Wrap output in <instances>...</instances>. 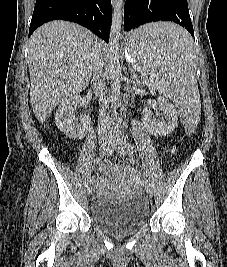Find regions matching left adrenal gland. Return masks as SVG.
Masks as SVG:
<instances>
[{
    "instance_id": "obj_1",
    "label": "left adrenal gland",
    "mask_w": 227,
    "mask_h": 267,
    "mask_svg": "<svg viewBox=\"0 0 227 267\" xmlns=\"http://www.w3.org/2000/svg\"><path fill=\"white\" fill-rule=\"evenodd\" d=\"M131 77H132L133 83H135V81H137V74L133 69H131Z\"/></svg>"
}]
</instances>
